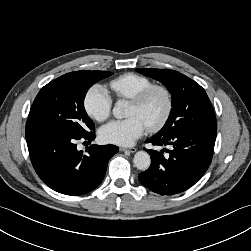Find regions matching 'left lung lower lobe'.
Masks as SVG:
<instances>
[{
  "label": "left lung lower lobe",
  "mask_w": 251,
  "mask_h": 251,
  "mask_svg": "<svg viewBox=\"0 0 251 251\" xmlns=\"http://www.w3.org/2000/svg\"><path fill=\"white\" fill-rule=\"evenodd\" d=\"M217 127L183 129L169 136H153L146 143L171 145V150L145 149L151 156V167L139 174L140 183L160 195L181 193L193 186L208 169L216 140Z\"/></svg>",
  "instance_id": "obj_1"
}]
</instances>
